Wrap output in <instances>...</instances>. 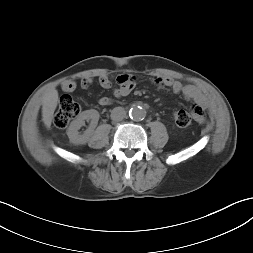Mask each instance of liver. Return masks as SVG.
I'll list each match as a JSON object with an SVG mask.
<instances>
[{"label": "liver", "instance_id": "1", "mask_svg": "<svg viewBox=\"0 0 253 253\" xmlns=\"http://www.w3.org/2000/svg\"><path fill=\"white\" fill-rule=\"evenodd\" d=\"M58 103V91L50 89L43 97L42 102V121L46 128H50L54 111Z\"/></svg>", "mask_w": 253, "mask_h": 253}]
</instances>
